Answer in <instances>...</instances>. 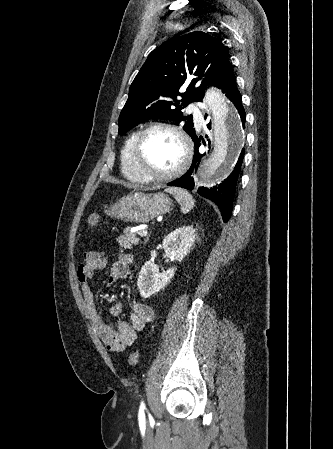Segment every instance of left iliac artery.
I'll return each instance as SVG.
<instances>
[{
    "label": "left iliac artery",
    "instance_id": "44dca946",
    "mask_svg": "<svg viewBox=\"0 0 333 449\" xmlns=\"http://www.w3.org/2000/svg\"><path fill=\"white\" fill-rule=\"evenodd\" d=\"M145 404L144 402H141L140 408H139V413H138V417L139 419L144 418V410H145Z\"/></svg>",
    "mask_w": 333,
    "mask_h": 449
}]
</instances>
